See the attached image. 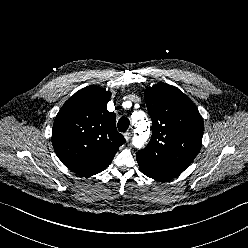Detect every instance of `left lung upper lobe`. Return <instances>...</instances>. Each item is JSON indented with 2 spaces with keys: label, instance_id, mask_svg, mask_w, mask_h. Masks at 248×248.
<instances>
[{
  "label": "left lung upper lobe",
  "instance_id": "obj_1",
  "mask_svg": "<svg viewBox=\"0 0 248 248\" xmlns=\"http://www.w3.org/2000/svg\"><path fill=\"white\" fill-rule=\"evenodd\" d=\"M144 98L153 133L149 144L137 152V161L146 176L168 180L183 172L197 156L203 120L194 103L166 83L147 87Z\"/></svg>",
  "mask_w": 248,
  "mask_h": 248
}]
</instances>
